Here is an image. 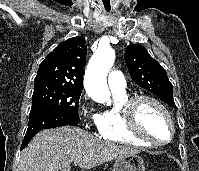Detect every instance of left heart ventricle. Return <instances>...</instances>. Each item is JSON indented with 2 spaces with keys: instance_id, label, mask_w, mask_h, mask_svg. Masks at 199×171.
<instances>
[{
  "instance_id": "left-heart-ventricle-1",
  "label": "left heart ventricle",
  "mask_w": 199,
  "mask_h": 171,
  "mask_svg": "<svg viewBox=\"0 0 199 171\" xmlns=\"http://www.w3.org/2000/svg\"><path fill=\"white\" fill-rule=\"evenodd\" d=\"M139 125L154 140L165 141L170 136V126L164 113L150 102L140 105Z\"/></svg>"
}]
</instances>
